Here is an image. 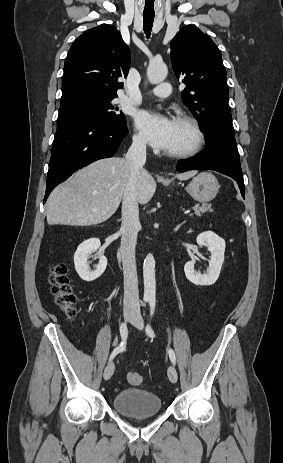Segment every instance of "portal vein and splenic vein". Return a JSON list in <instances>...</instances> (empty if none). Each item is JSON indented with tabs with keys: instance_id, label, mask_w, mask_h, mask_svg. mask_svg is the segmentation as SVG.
Wrapping results in <instances>:
<instances>
[{
	"instance_id": "18ae733b",
	"label": "portal vein and splenic vein",
	"mask_w": 283,
	"mask_h": 463,
	"mask_svg": "<svg viewBox=\"0 0 283 463\" xmlns=\"http://www.w3.org/2000/svg\"><path fill=\"white\" fill-rule=\"evenodd\" d=\"M184 213H185V214H188V213H190V210H186Z\"/></svg>"
}]
</instances>
